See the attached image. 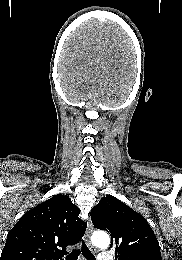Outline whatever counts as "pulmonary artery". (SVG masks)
Listing matches in <instances>:
<instances>
[{
	"label": "pulmonary artery",
	"mask_w": 182,
	"mask_h": 260,
	"mask_svg": "<svg viewBox=\"0 0 182 260\" xmlns=\"http://www.w3.org/2000/svg\"><path fill=\"white\" fill-rule=\"evenodd\" d=\"M98 260H114L113 256L109 252H101L98 255Z\"/></svg>",
	"instance_id": "obj_1"
}]
</instances>
